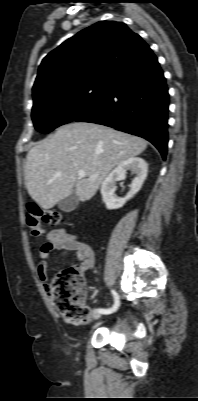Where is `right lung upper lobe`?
I'll list each match as a JSON object with an SVG mask.
<instances>
[{
    "mask_svg": "<svg viewBox=\"0 0 198 401\" xmlns=\"http://www.w3.org/2000/svg\"><path fill=\"white\" fill-rule=\"evenodd\" d=\"M150 51L124 23L100 21L51 51L39 66L33 99L88 82H110Z\"/></svg>",
    "mask_w": 198,
    "mask_h": 401,
    "instance_id": "right-lung-upper-lobe-1",
    "label": "right lung upper lobe"
}]
</instances>
